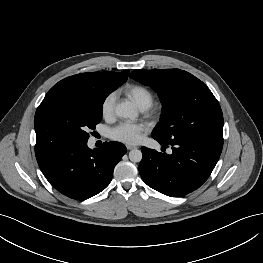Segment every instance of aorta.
<instances>
[{"mask_svg":"<svg viewBox=\"0 0 263 263\" xmlns=\"http://www.w3.org/2000/svg\"><path fill=\"white\" fill-rule=\"evenodd\" d=\"M115 113L121 118L135 119L138 115L136 107L131 102H123L116 106ZM129 159L132 162H140L142 152L138 149H133L129 152Z\"/></svg>","mask_w":263,"mask_h":263,"instance_id":"762f6f07","label":"aorta"}]
</instances>
